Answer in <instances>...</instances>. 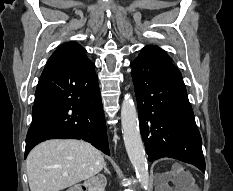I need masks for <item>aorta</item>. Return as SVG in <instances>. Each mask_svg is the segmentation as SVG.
Segmentation results:
<instances>
[{
	"label": "aorta",
	"mask_w": 233,
	"mask_h": 191,
	"mask_svg": "<svg viewBox=\"0 0 233 191\" xmlns=\"http://www.w3.org/2000/svg\"><path fill=\"white\" fill-rule=\"evenodd\" d=\"M122 133L128 157L141 186H149L148 164L139 131L136 107L130 95H126L121 108Z\"/></svg>",
	"instance_id": "1"
}]
</instances>
